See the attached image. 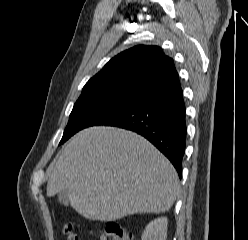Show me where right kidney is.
Returning a JSON list of instances; mask_svg holds the SVG:
<instances>
[{
  "label": "right kidney",
  "instance_id": "1",
  "mask_svg": "<svg viewBox=\"0 0 248 240\" xmlns=\"http://www.w3.org/2000/svg\"><path fill=\"white\" fill-rule=\"evenodd\" d=\"M167 224L168 220L166 217H161L150 222L145 228L141 240H166Z\"/></svg>",
  "mask_w": 248,
  "mask_h": 240
}]
</instances>
